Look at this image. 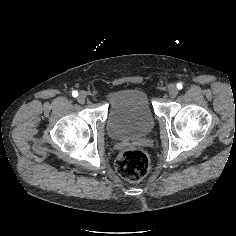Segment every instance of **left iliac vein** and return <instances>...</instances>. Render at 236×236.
<instances>
[{"label":"left iliac vein","instance_id":"1","mask_svg":"<svg viewBox=\"0 0 236 236\" xmlns=\"http://www.w3.org/2000/svg\"><path fill=\"white\" fill-rule=\"evenodd\" d=\"M168 93H169L171 98H175L178 94V90H177L176 86L173 85V84H170L168 86Z\"/></svg>","mask_w":236,"mask_h":236}]
</instances>
